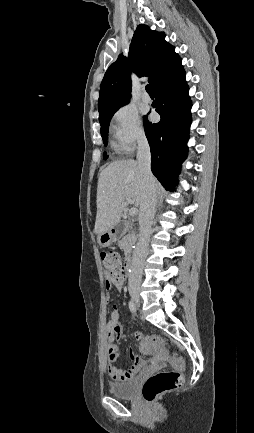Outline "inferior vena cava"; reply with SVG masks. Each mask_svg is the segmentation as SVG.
Masks as SVG:
<instances>
[{"label":"inferior vena cava","instance_id":"obj_1","mask_svg":"<svg viewBox=\"0 0 254 433\" xmlns=\"http://www.w3.org/2000/svg\"><path fill=\"white\" fill-rule=\"evenodd\" d=\"M137 163L143 179V199L139 213V240L130 265L129 288H139L143 266L148 252L149 239L152 233L151 223L156 212V184L151 172V154L145 136L138 140Z\"/></svg>","mask_w":254,"mask_h":433}]
</instances>
